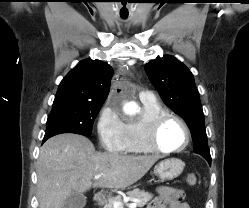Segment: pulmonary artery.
I'll return each mask as SVG.
<instances>
[{
    "instance_id": "obj_1",
    "label": "pulmonary artery",
    "mask_w": 249,
    "mask_h": 208,
    "mask_svg": "<svg viewBox=\"0 0 249 208\" xmlns=\"http://www.w3.org/2000/svg\"><path fill=\"white\" fill-rule=\"evenodd\" d=\"M139 98L142 102H154V97L149 92H141Z\"/></svg>"
}]
</instances>
